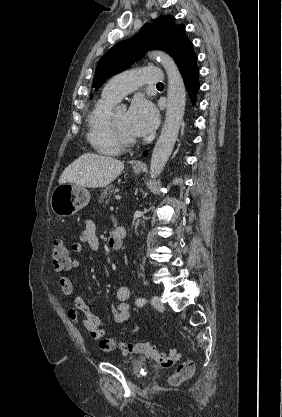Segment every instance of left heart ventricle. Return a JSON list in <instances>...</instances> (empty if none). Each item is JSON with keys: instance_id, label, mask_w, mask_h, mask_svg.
<instances>
[{"instance_id": "left-heart-ventricle-1", "label": "left heart ventricle", "mask_w": 282, "mask_h": 417, "mask_svg": "<svg viewBox=\"0 0 282 417\" xmlns=\"http://www.w3.org/2000/svg\"><path fill=\"white\" fill-rule=\"evenodd\" d=\"M115 123L120 131L128 137H134L127 127V112L125 110L114 111Z\"/></svg>"}]
</instances>
